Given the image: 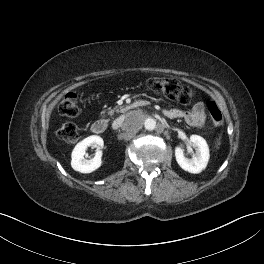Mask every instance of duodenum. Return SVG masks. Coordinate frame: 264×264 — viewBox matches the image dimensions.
Returning a JSON list of instances; mask_svg holds the SVG:
<instances>
[{
  "label": "duodenum",
  "instance_id": "410a0bca",
  "mask_svg": "<svg viewBox=\"0 0 264 264\" xmlns=\"http://www.w3.org/2000/svg\"><path fill=\"white\" fill-rule=\"evenodd\" d=\"M141 102H135L132 103L130 106L126 107L127 109H135L141 106ZM108 127V122L104 119H99L96 120L92 125H91V131L95 134H102L106 131Z\"/></svg>",
  "mask_w": 264,
  "mask_h": 264
}]
</instances>
